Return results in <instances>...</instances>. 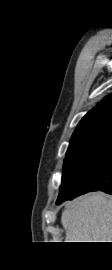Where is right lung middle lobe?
<instances>
[{"instance_id": "obj_1", "label": "right lung middle lobe", "mask_w": 112, "mask_h": 270, "mask_svg": "<svg viewBox=\"0 0 112 270\" xmlns=\"http://www.w3.org/2000/svg\"><path fill=\"white\" fill-rule=\"evenodd\" d=\"M111 144L112 125L99 126L71 138L56 204L83 194V175L103 158Z\"/></svg>"}]
</instances>
